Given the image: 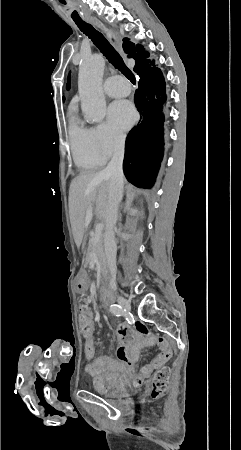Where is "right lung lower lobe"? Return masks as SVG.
I'll return each instance as SVG.
<instances>
[{
  "instance_id": "98d812e1",
  "label": "right lung lower lobe",
  "mask_w": 241,
  "mask_h": 450,
  "mask_svg": "<svg viewBox=\"0 0 241 450\" xmlns=\"http://www.w3.org/2000/svg\"><path fill=\"white\" fill-rule=\"evenodd\" d=\"M151 65L154 61H148L134 70L139 76L134 101L143 120L127 136L123 161L127 180L143 188L152 187L162 161L167 102L162 72Z\"/></svg>"
}]
</instances>
